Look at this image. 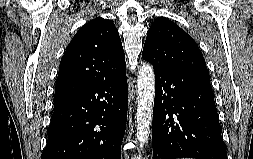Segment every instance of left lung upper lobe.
Here are the masks:
<instances>
[{
    "label": "left lung upper lobe",
    "instance_id": "left-lung-upper-lobe-1",
    "mask_svg": "<svg viewBox=\"0 0 253 159\" xmlns=\"http://www.w3.org/2000/svg\"><path fill=\"white\" fill-rule=\"evenodd\" d=\"M142 57L153 65L154 70L209 78L205 60L196 42L165 17H158L151 25Z\"/></svg>",
    "mask_w": 253,
    "mask_h": 159
}]
</instances>
